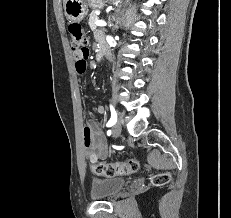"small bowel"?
<instances>
[{"label":"small bowel","mask_w":231,"mask_h":218,"mask_svg":"<svg viewBox=\"0 0 231 218\" xmlns=\"http://www.w3.org/2000/svg\"><path fill=\"white\" fill-rule=\"evenodd\" d=\"M100 40V35H98ZM100 47L105 48L102 42H100ZM74 64L76 71L78 73H84L87 69V61H89V56H82L79 51L73 52ZM105 108L102 105L96 107V112L102 114ZM83 144L85 148V154L92 163H96L99 159H106L108 156V146L107 143L97 130L93 123H87L83 127L82 131Z\"/></svg>","instance_id":"c3829d8e"}]
</instances>
